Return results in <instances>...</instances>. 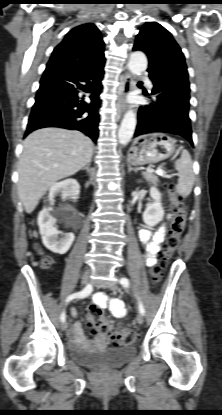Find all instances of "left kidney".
Returning a JSON list of instances; mask_svg holds the SVG:
<instances>
[{
	"instance_id": "obj_1",
	"label": "left kidney",
	"mask_w": 222,
	"mask_h": 415,
	"mask_svg": "<svg viewBox=\"0 0 222 415\" xmlns=\"http://www.w3.org/2000/svg\"><path fill=\"white\" fill-rule=\"evenodd\" d=\"M150 196L153 202L146 206L143 213V220L148 227H153L163 219L164 209L161 203V193L157 188H150Z\"/></svg>"
}]
</instances>
